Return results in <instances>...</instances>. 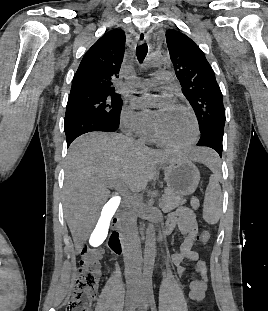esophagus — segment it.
I'll return each mask as SVG.
<instances>
[{"instance_id":"1","label":"esophagus","mask_w":268,"mask_h":311,"mask_svg":"<svg viewBox=\"0 0 268 311\" xmlns=\"http://www.w3.org/2000/svg\"><path fill=\"white\" fill-rule=\"evenodd\" d=\"M146 40H148V35L145 32V30L141 29L139 30L137 34V41L139 44H143Z\"/></svg>"}]
</instances>
